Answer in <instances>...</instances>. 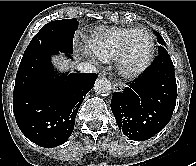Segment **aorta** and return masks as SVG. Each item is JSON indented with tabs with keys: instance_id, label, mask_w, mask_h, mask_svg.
<instances>
[{
	"instance_id": "762f6f07",
	"label": "aorta",
	"mask_w": 196,
	"mask_h": 166,
	"mask_svg": "<svg viewBox=\"0 0 196 166\" xmlns=\"http://www.w3.org/2000/svg\"><path fill=\"white\" fill-rule=\"evenodd\" d=\"M94 89L101 96H108L111 93V82L107 78H98L94 84Z\"/></svg>"
}]
</instances>
